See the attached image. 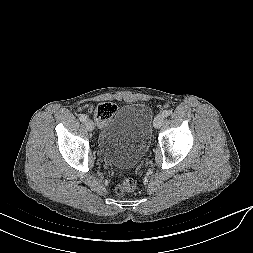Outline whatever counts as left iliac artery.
<instances>
[{"mask_svg": "<svg viewBox=\"0 0 253 253\" xmlns=\"http://www.w3.org/2000/svg\"><path fill=\"white\" fill-rule=\"evenodd\" d=\"M170 114H171V111H170V110H164V111L162 112L163 117H168V116H170Z\"/></svg>", "mask_w": 253, "mask_h": 253, "instance_id": "44dca946", "label": "left iliac artery"}]
</instances>
